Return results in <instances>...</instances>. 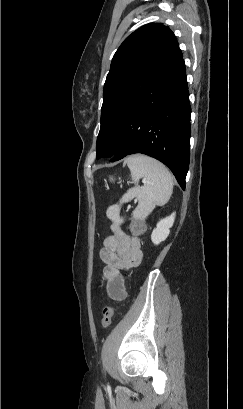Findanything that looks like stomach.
<instances>
[{"label":"stomach","mask_w":243,"mask_h":409,"mask_svg":"<svg viewBox=\"0 0 243 409\" xmlns=\"http://www.w3.org/2000/svg\"><path fill=\"white\" fill-rule=\"evenodd\" d=\"M109 180H110V182H114V181H115V179L113 178V176H110V177H109Z\"/></svg>","instance_id":"obj_1"}]
</instances>
